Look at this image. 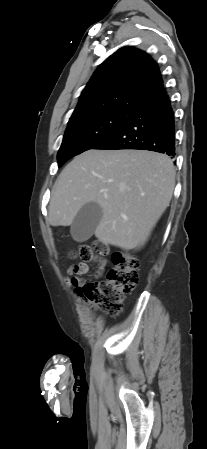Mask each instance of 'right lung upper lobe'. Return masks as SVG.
I'll use <instances>...</instances> for the list:
<instances>
[{"label":"right lung upper lobe","mask_w":207,"mask_h":449,"mask_svg":"<svg viewBox=\"0 0 207 449\" xmlns=\"http://www.w3.org/2000/svg\"><path fill=\"white\" fill-rule=\"evenodd\" d=\"M166 94L157 63L147 53L126 46L97 68L71 118L110 109L136 111Z\"/></svg>","instance_id":"1"}]
</instances>
